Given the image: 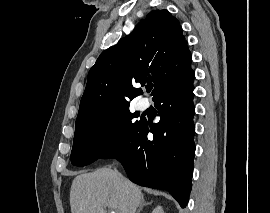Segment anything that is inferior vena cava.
<instances>
[{"mask_svg":"<svg viewBox=\"0 0 270 213\" xmlns=\"http://www.w3.org/2000/svg\"><path fill=\"white\" fill-rule=\"evenodd\" d=\"M115 173H116L117 175H119V173H118V171H117V170H115Z\"/></svg>","mask_w":270,"mask_h":213,"instance_id":"obj_1","label":"inferior vena cava"}]
</instances>
